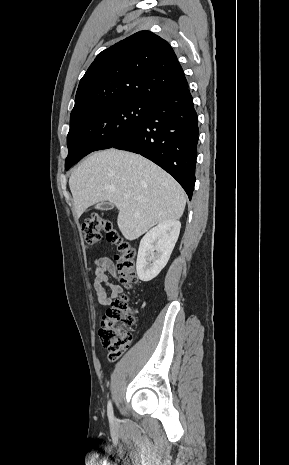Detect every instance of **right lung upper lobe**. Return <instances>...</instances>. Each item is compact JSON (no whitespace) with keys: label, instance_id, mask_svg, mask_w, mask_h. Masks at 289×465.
Listing matches in <instances>:
<instances>
[{"label":"right lung upper lobe","instance_id":"1","mask_svg":"<svg viewBox=\"0 0 289 465\" xmlns=\"http://www.w3.org/2000/svg\"><path fill=\"white\" fill-rule=\"evenodd\" d=\"M186 87L183 69L168 42L150 31H139L97 55L80 80L70 127L93 107L153 101Z\"/></svg>","mask_w":289,"mask_h":465}]
</instances>
